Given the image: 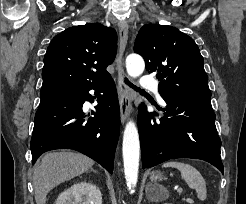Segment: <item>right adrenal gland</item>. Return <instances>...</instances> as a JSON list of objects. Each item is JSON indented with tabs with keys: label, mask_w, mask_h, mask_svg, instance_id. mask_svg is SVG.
Listing matches in <instances>:
<instances>
[{
	"label": "right adrenal gland",
	"mask_w": 246,
	"mask_h": 204,
	"mask_svg": "<svg viewBox=\"0 0 246 204\" xmlns=\"http://www.w3.org/2000/svg\"><path fill=\"white\" fill-rule=\"evenodd\" d=\"M90 171L94 172V173H98L96 170H94L93 168H90Z\"/></svg>",
	"instance_id": "obj_1"
}]
</instances>
